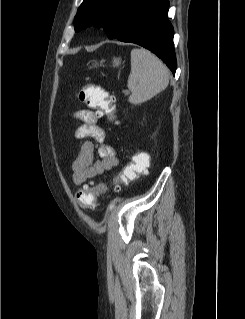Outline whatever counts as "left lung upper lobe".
<instances>
[{
    "label": "left lung upper lobe",
    "mask_w": 245,
    "mask_h": 319,
    "mask_svg": "<svg viewBox=\"0 0 245 319\" xmlns=\"http://www.w3.org/2000/svg\"><path fill=\"white\" fill-rule=\"evenodd\" d=\"M145 0H84L75 16L78 32L91 25L103 27L110 39L119 33L127 18Z\"/></svg>",
    "instance_id": "obj_1"
}]
</instances>
